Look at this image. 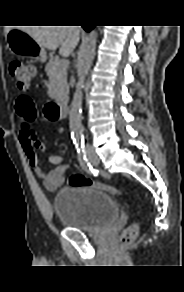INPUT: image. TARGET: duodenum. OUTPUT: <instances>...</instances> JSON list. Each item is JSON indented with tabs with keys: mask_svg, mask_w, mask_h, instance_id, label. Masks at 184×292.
Returning <instances> with one entry per match:
<instances>
[{
	"mask_svg": "<svg viewBox=\"0 0 184 292\" xmlns=\"http://www.w3.org/2000/svg\"><path fill=\"white\" fill-rule=\"evenodd\" d=\"M46 111L52 119H60L68 113V105L65 100H57L51 102Z\"/></svg>",
	"mask_w": 184,
	"mask_h": 292,
	"instance_id": "duodenum-1",
	"label": "duodenum"
}]
</instances>
